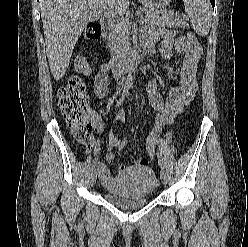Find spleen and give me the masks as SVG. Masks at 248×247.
I'll list each match as a JSON object with an SVG mask.
<instances>
[{
    "instance_id": "spleen-1",
    "label": "spleen",
    "mask_w": 248,
    "mask_h": 247,
    "mask_svg": "<svg viewBox=\"0 0 248 247\" xmlns=\"http://www.w3.org/2000/svg\"><path fill=\"white\" fill-rule=\"evenodd\" d=\"M185 13L190 19L191 26L200 36L209 33L211 25V9L207 0H183Z\"/></svg>"
}]
</instances>
